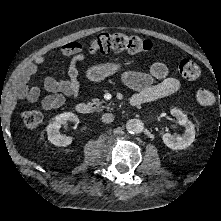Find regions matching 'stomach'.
I'll use <instances>...</instances> for the list:
<instances>
[{
  "instance_id": "stomach-1",
  "label": "stomach",
  "mask_w": 221,
  "mask_h": 221,
  "mask_svg": "<svg viewBox=\"0 0 221 221\" xmlns=\"http://www.w3.org/2000/svg\"><path fill=\"white\" fill-rule=\"evenodd\" d=\"M121 67V64L114 62L97 64L87 70L86 77L92 82H101L107 77L114 75Z\"/></svg>"
}]
</instances>
